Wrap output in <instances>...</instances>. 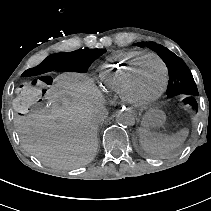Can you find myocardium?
<instances>
[{"label":"myocardium","mask_w":211,"mask_h":211,"mask_svg":"<svg viewBox=\"0 0 211 211\" xmlns=\"http://www.w3.org/2000/svg\"><path fill=\"white\" fill-rule=\"evenodd\" d=\"M148 59H154L160 64L162 72H163V82H162L161 88L154 96L142 99L138 97L135 93L134 81H135V75L139 67L142 65V63L145 60H148ZM167 74H168L167 67L160 57L154 54L144 55L140 59L138 66L131 70L127 78L125 92L123 96L124 101H126L127 103H129L131 106L135 108L143 109V110L153 106L161 98V96L164 93L166 82H167Z\"/></svg>","instance_id":"myocardium-1"}]
</instances>
